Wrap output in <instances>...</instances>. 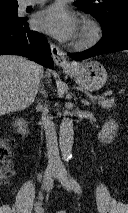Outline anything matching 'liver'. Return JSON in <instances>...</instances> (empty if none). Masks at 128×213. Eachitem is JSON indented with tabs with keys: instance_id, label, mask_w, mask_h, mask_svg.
Listing matches in <instances>:
<instances>
[{
	"instance_id": "6515ba94",
	"label": "liver",
	"mask_w": 128,
	"mask_h": 213,
	"mask_svg": "<svg viewBox=\"0 0 128 213\" xmlns=\"http://www.w3.org/2000/svg\"><path fill=\"white\" fill-rule=\"evenodd\" d=\"M43 68L23 57L0 56V116L29 107L36 97ZM46 76L50 80V73Z\"/></svg>"
}]
</instances>
